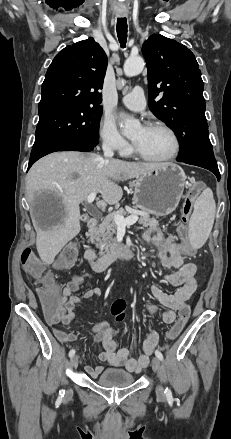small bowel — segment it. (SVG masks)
I'll use <instances>...</instances> for the list:
<instances>
[{"label":"small bowel","instance_id":"c3829d8e","mask_svg":"<svg viewBox=\"0 0 231 439\" xmlns=\"http://www.w3.org/2000/svg\"><path fill=\"white\" fill-rule=\"evenodd\" d=\"M144 239L156 244L158 259L165 268L175 269V271L165 276L166 282L176 288L174 292L167 293L157 285L152 286L153 296L166 308L162 315L164 322L173 323L176 320L178 306L186 304L190 309L189 301L198 288L197 267L193 263L184 262L179 254L182 251L185 252V248L176 243L171 235H164L159 229L150 228L145 232ZM89 278H91V274L88 272L78 274L61 288V301L56 309L58 317L55 320H48L52 332L61 342L74 341L77 339V335L61 331L57 328V325L72 324L76 318L74 312L76 305L93 301L101 295L99 288H91L80 295H75V292ZM145 310L148 314L153 315L158 312V307L155 304L146 302ZM91 333L94 335V341L102 347L98 355L100 361L112 367L123 366L131 372H140L148 366L149 356L159 342L158 332L155 330L150 331L143 342V354L134 357L127 348L117 349L114 339L115 330L108 322H98L91 329ZM85 370L91 377H97L103 371V366L88 365Z\"/></svg>","mask_w":231,"mask_h":439}]
</instances>
